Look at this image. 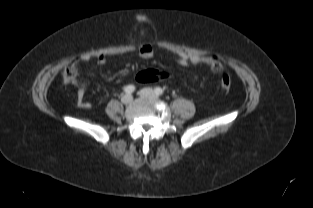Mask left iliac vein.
Here are the masks:
<instances>
[{
  "mask_svg": "<svg viewBox=\"0 0 313 208\" xmlns=\"http://www.w3.org/2000/svg\"><path fill=\"white\" fill-rule=\"evenodd\" d=\"M139 95L144 98L157 99L158 95L150 88L140 90Z\"/></svg>",
  "mask_w": 313,
  "mask_h": 208,
  "instance_id": "left-iliac-vein-1",
  "label": "left iliac vein"
}]
</instances>
